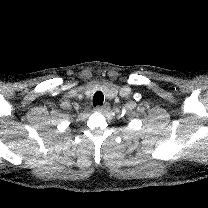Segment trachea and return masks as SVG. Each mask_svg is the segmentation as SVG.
Listing matches in <instances>:
<instances>
[{
	"mask_svg": "<svg viewBox=\"0 0 208 208\" xmlns=\"http://www.w3.org/2000/svg\"><path fill=\"white\" fill-rule=\"evenodd\" d=\"M104 101V95L102 92H96L93 96V106L96 107L98 105H102Z\"/></svg>",
	"mask_w": 208,
	"mask_h": 208,
	"instance_id": "1",
	"label": "trachea"
}]
</instances>
